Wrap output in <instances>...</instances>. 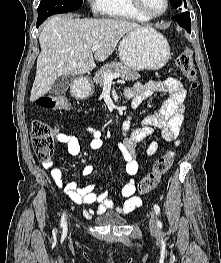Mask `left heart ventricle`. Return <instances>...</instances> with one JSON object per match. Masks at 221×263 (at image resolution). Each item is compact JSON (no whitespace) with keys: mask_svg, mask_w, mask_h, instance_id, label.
I'll list each match as a JSON object with an SVG mask.
<instances>
[{"mask_svg":"<svg viewBox=\"0 0 221 263\" xmlns=\"http://www.w3.org/2000/svg\"><path fill=\"white\" fill-rule=\"evenodd\" d=\"M143 7L149 13L161 12L165 7V0H142Z\"/></svg>","mask_w":221,"mask_h":263,"instance_id":"1","label":"left heart ventricle"}]
</instances>
